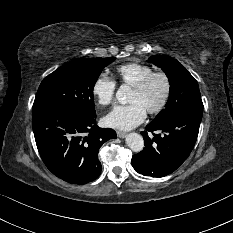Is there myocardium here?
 Listing matches in <instances>:
<instances>
[{
    "mask_svg": "<svg viewBox=\"0 0 233 233\" xmlns=\"http://www.w3.org/2000/svg\"><path fill=\"white\" fill-rule=\"evenodd\" d=\"M157 77L162 78L164 81V94L160 103L156 107L147 111L149 114H158L166 107L172 90V83L169 75L163 71H154L143 78L138 84L133 86V90L137 92H143L149 86L151 81Z\"/></svg>",
    "mask_w": 233,
    "mask_h": 233,
    "instance_id": "f54148a6",
    "label": "myocardium"
}]
</instances>
